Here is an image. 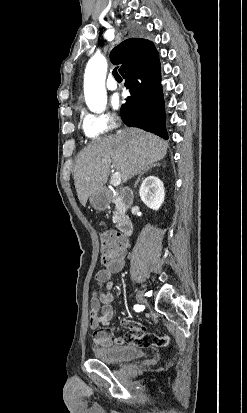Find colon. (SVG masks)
I'll return each instance as SVG.
<instances>
[{
  "label": "colon",
  "instance_id": "5ec220e1",
  "mask_svg": "<svg viewBox=\"0 0 247 413\" xmlns=\"http://www.w3.org/2000/svg\"><path fill=\"white\" fill-rule=\"evenodd\" d=\"M123 237L114 233H103L100 243V260L108 262L122 256Z\"/></svg>",
  "mask_w": 247,
  "mask_h": 413
}]
</instances>
